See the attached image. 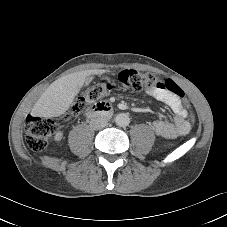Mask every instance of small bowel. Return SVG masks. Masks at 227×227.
<instances>
[{"label": "small bowel", "mask_w": 227, "mask_h": 227, "mask_svg": "<svg viewBox=\"0 0 227 227\" xmlns=\"http://www.w3.org/2000/svg\"><path fill=\"white\" fill-rule=\"evenodd\" d=\"M155 87V89H147L146 94L167 105L174 117L171 122L162 119L155 120L152 123L154 132L167 139H174L188 133L190 129V123L187 120L188 112L179 97L167 90L166 86L160 82H157ZM55 138L60 140L62 134L57 133Z\"/></svg>", "instance_id": "c3829d8e"}]
</instances>
